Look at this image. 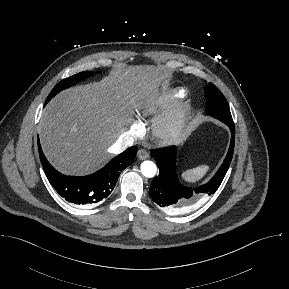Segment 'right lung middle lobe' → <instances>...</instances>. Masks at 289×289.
I'll list each match as a JSON object with an SVG mask.
<instances>
[{
	"label": "right lung middle lobe",
	"instance_id": "right-lung-middle-lobe-1",
	"mask_svg": "<svg viewBox=\"0 0 289 289\" xmlns=\"http://www.w3.org/2000/svg\"><path fill=\"white\" fill-rule=\"evenodd\" d=\"M92 72H80L76 75H73L69 78H66L64 80H62L61 82H59L50 92V94L48 95L45 104H47L56 94H58L60 91L75 85L76 83H78L81 80H84L90 76H92Z\"/></svg>",
	"mask_w": 289,
	"mask_h": 289
}]
</instances>
